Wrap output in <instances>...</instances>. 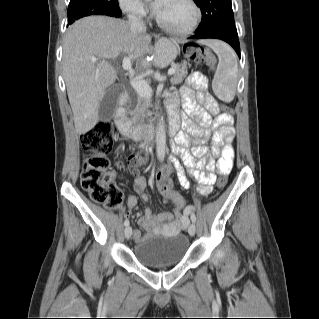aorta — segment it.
<instances>
[{
    "mask_svg": "<svg viewBox=\"0 0 319 319\" xmlns=\"http://www.w3.org/2000/svg\"><path fill=\"white\" fill-rule=\"evenodd\" d=\"M155 141L157 158L160 162H162L165 157L166 148V131L163 118L159 120V123L157 125Z\"/></svg>",
    "mask_w": 319,
    "mask_h": 319,
    "instance_id": "aorta-1",
    "label": "aorta"
}]
</instances>
